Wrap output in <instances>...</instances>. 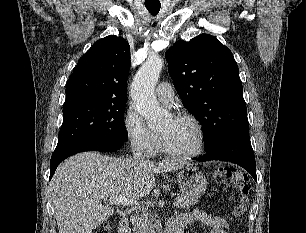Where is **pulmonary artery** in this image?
Wrapping results in <instances>:
<instances>
[{
    "label": "pulmonary artery",
    "mask_w": 306,
    "mask_h": 233,
    "mask_svg": "<svg viewBox=\"0 0 306 233\" xmlns=\"http://www.w3.org/2000/svg\"><path fill=\"white\" fill-rule=\"evenodd\" d=\"M156 95L166 105H170L173 102L174 92L172 86L167 82H162L157 86Z\"/></svg>",
    "instance_id": "1"
}]
</instances>
